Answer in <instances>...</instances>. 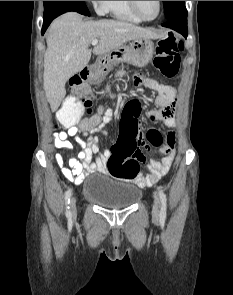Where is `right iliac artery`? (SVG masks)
<instances>
[{"label": "right iliac artery", "instance_id": "82829eb1", "mask_svg": "<svg viewBox=\"0 0 233 295\" xmlns=\"http://www.w3.org/2000/svg\"><path fill=\"white\" fill-rule=\"evenodd\" d=\"M72 195V190L69 189L66 193H65V205H66V217L71 220L72 218V214L70 211V207H69V203H70V198Z\"/></svg>", "mask_w": 233, "mask_h": 295}]
</instances>
